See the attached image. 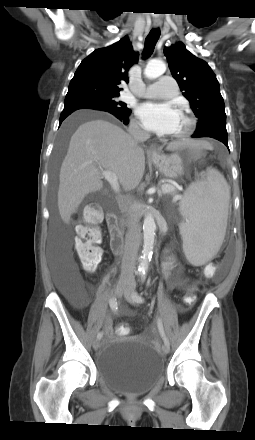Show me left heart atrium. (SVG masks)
Segmentation results:
<instances>
[{"label":"left heart atrium","instance_id":"obj_1","mask_svg":"<svg viewBox=\"0 0 255 440\" xmlns=\"http://www.w3.org/2000/svg\"><path fill=\"white\" fill-rule=\"evenodd\" d=\"M137 116L145 129L157 134H173L179 111L170 103L146 102L137 108Z\"/></svg>","mask_w":255,"mask_h":440}]
</instances>
